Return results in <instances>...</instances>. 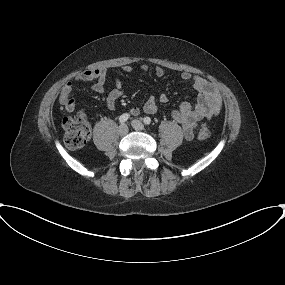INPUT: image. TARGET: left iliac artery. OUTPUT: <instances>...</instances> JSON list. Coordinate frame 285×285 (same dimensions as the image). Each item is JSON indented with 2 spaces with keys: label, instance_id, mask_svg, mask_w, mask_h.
I'll use <instances>...</instances> for the list:
<instances>
[{
  "label": "left iliac artery",
  "instance_id": "obj_1",
  "mask_svg": "<svg viewBox=\"0 0 285 285\" xmlns=\"http://www.w3.org/2000/svg\"><path fill=\"white\" fill-rule=\"evenodd\" d=\"M143 122L146 124V125H149L151 123V118L150 117H145L143 119Z\"/></svg>",
  "mask_w": 285,
  "mask_h": 285
}]
</instances>
